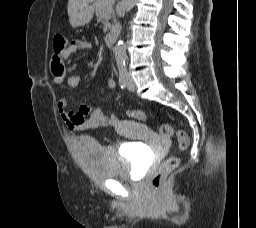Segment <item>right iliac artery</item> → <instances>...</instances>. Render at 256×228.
Masks as SVG:
<instances>
[{
    "label": "right iliac artery",
    "instance_id": "obj_1",
    "mask_svg": "<svg viewBox=\"0 0 256 228\" xmlns=\"http://www.w3.org/2000/svg\"><path fill=\"white\" fill-rule=\"evenodd\" d=\"M119 85L121 88H125L127 85V69L125 65L119 66Z\"/></svg>",
    "mask_w": 256,
    "mask_h": 228
}]
</instances>
